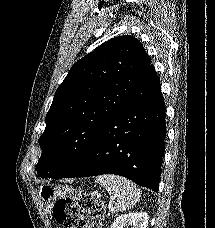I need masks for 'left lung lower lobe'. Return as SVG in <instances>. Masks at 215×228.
I'll use <instances>...</instances> for the list:
<instances>
[{
    "label": "left lung lower lobe",
    "mask_w": 215,
    "mask_h": 228,
    "mask_svg": "<svg viewBox=\"0 0 215 228\" xmlns=\"http://www.w3.org/2000/svg\"><path fill=\"white\" fill-rule=\"evenodd\" d=\"M165 111L160 81L151 65L87 152L55 179L115 174L158 192L165 152Z\"/></svg>",
    "instance_id": "obj_1"
}]
</instances>
